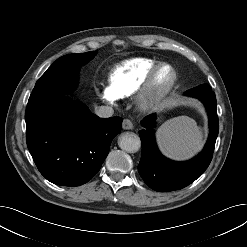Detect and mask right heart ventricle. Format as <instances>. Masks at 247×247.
Returning <instances> with one entry per match:
<instances>
[{"mask_svg": "<svg viewBox=\"0 0 247 247\" xmlns=\"http://www.w3.org/2000/svg\"><path fill=\"white\" fill-rule=\"evenodd\" d=\"M157 64L156 60L142 57L122 62L110 77V87L114 94L119 98L134 94Z\"/></svg>", "mask_w": 247, "mask_h": 247, "instance_id": "right-heart-ventricle-1", "label": "right heart ventricle"}]
</instances>
